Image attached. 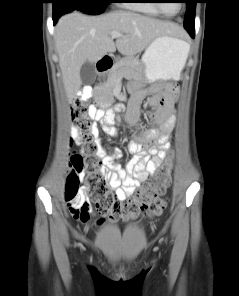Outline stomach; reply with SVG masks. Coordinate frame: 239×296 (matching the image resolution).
Listing matches in <instances>:
<instances>
[{"mask_svg": "<svg viewBox=\"0 0 239 296\" xmlns=\"http://www.w3.org/2000/svg\"><path fill=\"white\" fill-rule=\"evenodd\" d=\"M190 45L174 35L155 38L142 56V74L150 82L178 80Z\"/></svg>", "mask_w": 239, "mask_h": 296, "instance_id": "1", "label": "stomach"}]
</instances>
